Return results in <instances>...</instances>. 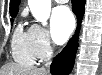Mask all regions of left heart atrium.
Returning <instances> with one entry per match:
<instances>
[{
	"instance_id": "39dd6f15",
	"label": "left heart atrium",
	"mask_w": 102,
	"mask_h": 75,
	"mask_svg": "<svg viewBox=\"0 0 102 75\" xmlns=\"http://www.w3.org/2000/svg\"><path fill=\"white\" fill-rule=\"evenodd\" d=\"M75 27V19L66 6L55 8L51 15V36L55 43L66 42Z\"/></svg>"
}]
</instances>
